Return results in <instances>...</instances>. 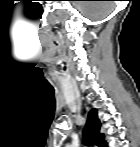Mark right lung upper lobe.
<instances>
[{
  "label": "right lung upper lobe",
  "mask_w": 140,
  "mask_h": 147,
  "mask_svg": "<svg viewBox=\"0 0 140 147\" xmlns=\"http://www.w3.org/2000/svg\"><path fill=\"white\" fill-rule=\"evenodd\" d=\"M100 128L101 122L97 116V110L92 109L88 115L84 136L88 143H95L98 147H107L104 134L100 132Z\"/></svg>",
  "instance_id": "right-lung-upper-lobe-1"
}]
</instances>
